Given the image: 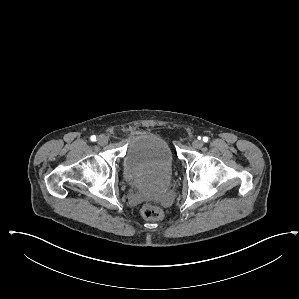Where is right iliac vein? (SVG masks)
<instances>
[{"mask_svg":"<svg viewBox=\"0 0 299 299\" xmlns=\"http://www.w3.org/2000/svg\"><path fill=\"white\" fill-rule=\"evenodd\" d=\"M97 142L98 144L100 145H105L108 143V137L106 135H99L98 138H97Z\"/></svg>","mask_w":299,"mask_h":299,"instance_id":"1","label":"right iliac vein"}]
</instances>
